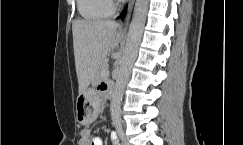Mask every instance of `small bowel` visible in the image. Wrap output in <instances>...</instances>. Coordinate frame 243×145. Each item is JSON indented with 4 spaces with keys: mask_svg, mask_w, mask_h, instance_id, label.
Masks as SVG:
<instances>
[{
    "mask_svg": "<svg viewBox=\"0 0 243 145\" xmlns=\"http://www.w3.org/2000/svg\"><path fill=\"white\" fill-rule=\"evenodd\" d=\"M103 91L107 90V87L102 88ZM111 141L114 145H118V138L115 132L110 135ZM78 145H103L102 139L97 136H92L89 129H83L80 134Z\"/></svg>",
    "mask_w": 243,
    "mask_h": 145,
    "instance_id": "c3829d8e",
    "label": "small bowel"
}]
</instances>
